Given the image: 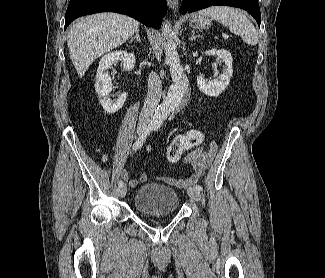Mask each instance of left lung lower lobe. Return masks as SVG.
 <instances>
[{"label": "left lung lower lobe", "mask_w": 325, "mask_h": 278, "mask_svg": "<svg viewBox=\"0 0 325 278\" xmlns=\"http://www.w3.org/2000/svg\"><path fill=\"white\" fill-rule=\"evenodd\" d=\"M232 6L249 12L257 21L260 27L261 13L258 0H183L180 13H191L210 6Z\"/></svg>", "instance_id": "0a47b994"}]
</instances>
